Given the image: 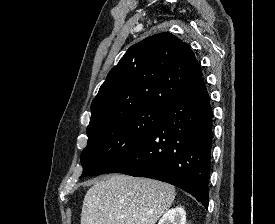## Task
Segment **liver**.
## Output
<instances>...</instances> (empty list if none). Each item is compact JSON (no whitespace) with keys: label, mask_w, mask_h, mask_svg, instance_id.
Wrapping results in <instances>:
<instances>
[{"label":"liver","mask_w":275,"mask_h":224,"mask_svg":"<svg viewBox=\"0 0 275 224\" xmlns=\"http://www.w3.org/2000/svg\"><path fill=\"white\" fill-rule=\"evenodd\" d=\"M174 199L175 187L168 183L112 175L88 189L81 224H155Z\"/></svg>","instance_id":"1"}]
</instances>
